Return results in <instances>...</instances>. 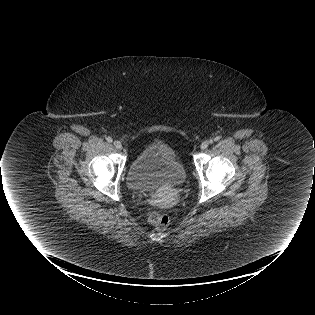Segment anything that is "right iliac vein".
I'll use <instances>...</instances> for the list:
<instances>
[{
    "label": "right iliac vein",
    "instance_id": "1",
    "mask_svg": "<svg viewBox=\"0 0 315 315\" xmlns=\"http://www.w3.org/2000/svg\"><path fill=\"white\" fill-rule=\"evenodd\" d=\"M113 144H114V146L116 147V149L122 150L123 146H122L121 142H119V141H114Z\"/></svg>",
    "mask_w": 315,
    "mask_h": 315
}]
</instances>
